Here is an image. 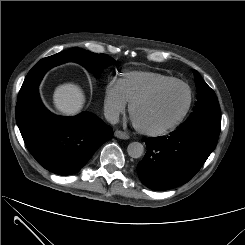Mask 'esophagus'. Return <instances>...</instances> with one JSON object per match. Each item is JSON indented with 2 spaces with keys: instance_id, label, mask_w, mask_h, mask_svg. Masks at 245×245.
<instances>
[{
  "instance_id": "34e87169",
  "label": "esophagus",
  "mask_w": 245,
  "mask_h": 245,
  "mask_svg": "<svg viewBox=\"0 0 245 245\" xmlns=\"http://www.w3.org/2000/svg\"><path fill=\"white\" fill-rule=\"evenodd\" d=\"M114 136L120 139H129L130 136L129 134H127L126 132L120 131V130H116L114 132Z\"/></svg>"
}]
</instances>
